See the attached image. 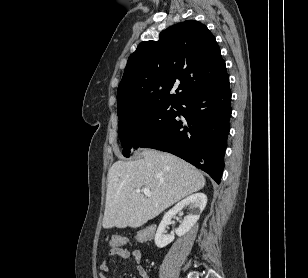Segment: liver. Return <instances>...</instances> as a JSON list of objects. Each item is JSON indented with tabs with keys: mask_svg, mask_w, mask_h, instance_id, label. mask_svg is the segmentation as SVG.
<instances>
[{
	"mask_svg": "<svg viewBox=\"0 0 308 278\" xmlns=\"http://www.w3.org/2000/svg\"><path fill=\"white\" fill-rule=\"evenodd\" d=\"M139 155L137 160L115 162L108 172L105 229L140 227L205 186L202 173L175 155L152 149ZM144 187L151 197L135 192Z\"/></svg>",
	"mask_w": 308,
	"mask_h": 278,
	"instance_id": "liver-1",
	"label": "liver"
}]
</instances>
